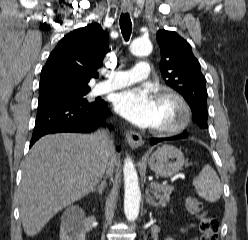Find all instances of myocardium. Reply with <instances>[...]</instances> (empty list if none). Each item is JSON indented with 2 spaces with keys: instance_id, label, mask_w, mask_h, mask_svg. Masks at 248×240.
<instances>
[{
  "instance_id": "f54148a6",
  "label": "myocardium",
  "mask_w": 248,
  "mask_h": 240,
  "mask_svg": "<svg viewBox=\"0 0 248 240\" xmlns=\"http://www.w3.org/2000/svg\"><path fill=\"white\" fill-rule=\"evenodd\" d=\"M159 99H168L175 103L178 108V117L170 124L156 127L154 132L162 136H170L183 131L190 122L191 110L186 100L176 91L170 89L161 90Z\"/></svg>"
}]
</instances>
